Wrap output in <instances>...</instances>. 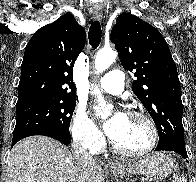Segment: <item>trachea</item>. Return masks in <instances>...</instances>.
Wrapping results in <instances>:
<instances>
[{
  "instance_id": "1",
  "label": "trachea",
  "mask_w": 196,
  "mask_h": 182,
  "mask_svg": "<svg viewBox=\"0 0 196 182\" xmlns=\"http://www.w3.org/2000/svg\"><path fill=\"white\" fill-rule=\"evenodd\" d=\"M101 37H102V30H101L100 23L99 21H94L89 28L88 39L90 45L93 48L99 46Z\"/></svg>"
}]
</instances>
